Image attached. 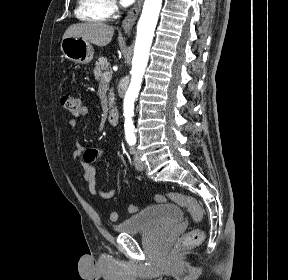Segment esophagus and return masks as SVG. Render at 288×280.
Masks as SVG:
<instances>
[{
	"mask_svg": "<svg viewBox=\"0 0 288 280\" xmlns=\"http://www.w3.org/2000/svg\"><path fill=\"white\" fill-rule=\"evenodd\" d=\"M143 0H137V3L134 7L128 12L127 16L122 22V28L126 34H129L132 30L135 21L139 15Z\"/></svg>",
	"mask_w": 288,
	"mask_h": 280,
	"instance_id": "esophagus-1",
	"label": "esophagus"
}]
</instances>
